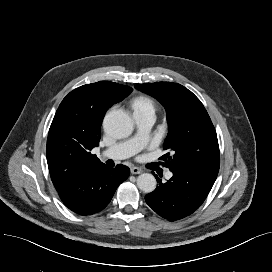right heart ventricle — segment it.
Here are the masks:
<instances>
[{"label":"right heart ventricle","mask_w":272,"mask_h":272,"mask_svg":"<svg viewBox=\"0 0 272 272\" xmlns=\"http://www.w3.org/2000/svg\"><path fill=\"white\" fill-rule=\"evenodd\" d=\"M131 108L135 115H154L156 112L155 100L147 95H140L131 101Z\"/></svg>","instance_id":"obj_1"}]
</instances>
